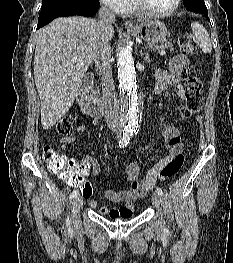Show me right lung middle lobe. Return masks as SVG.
Instances as JSON below:
<instances>
[{
	"label": "right lung middle lobe",
	"mask_w": 233,
	"mask_h": 263,
	"mask_svg": "<svg viewBox=\"0 0 233 263\" xmlns=\"http://www.w3.org/2000/svg\"><path fill=\"white\" fill-rule=\"evenodd\" d=\"M85 0H43L38 23H45L59 16L72 14ZM98 3L99 0H89Z\"/></svg>",
	"instance_id": "1"
}]
</instances>
